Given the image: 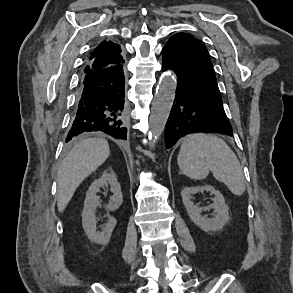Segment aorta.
<instances>
[{
    "label": "aorta",
    "instance_id": "1",
    "mask_svg": "<svg viewBox=\"0 0 293 293\" xmlns=\"http://www.w3.org/2000/svg\"><path fill=\"white\" fill-rule=\"evenodd\" d=\"M176 86L177 79L172 73L164 75L158 84L149 118L150 134L155 139L165 128L175 98ZM154 144L155 140L151 143V147Z\"/></svg>",
    "mask_w": 293,
    "mask_h": 293
}]
</instances>
